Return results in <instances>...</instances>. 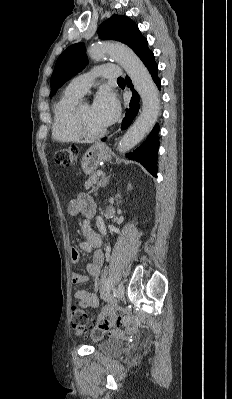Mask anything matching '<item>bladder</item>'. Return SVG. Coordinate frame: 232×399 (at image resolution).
Wrapping results in <instances>:
<instances>
[{
    "instance_id": "1",
    "label": "bladder",
    "mask_w": 232,
    "mask_h": 399,
    "mask_svg": "<svg viewBox=\"0 0 232 399\" xmlns=\"http://www.w3.org/2000/svg\"><path fill=\"white\" fill-rule=\"evenodd\" d=\"M98 352L103 355L112 356L117 355L121 352V344L115 339H109L101 343L98 348Z\"/></svg>"
}]
</instances>
